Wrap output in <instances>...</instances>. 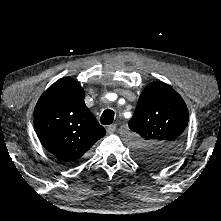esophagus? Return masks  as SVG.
Returning <instances> with one entry per match:
<instances>
[{
  "instance_id": "34e87169",
  "label": "esophagus",
  "mask_w": 221,
  "mask_h": 221,
  "mask_svg": "<svg viewBox=\"0 0 221 221\" xmlns=\"http://www.w3.org/2000/svg\"><path fill=\"white\" fill-rule=\"evenodd\" d=\"M116 128H117V125L116 124H112V125L108 126L107 132L109 134H113L116 131Z\"/></svg>"
}]
</instances>
